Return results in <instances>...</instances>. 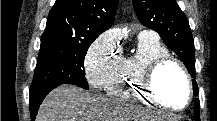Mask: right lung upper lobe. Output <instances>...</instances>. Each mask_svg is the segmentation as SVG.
<instances>
[{
  "label": "right lung upper lobe",
  "instance_id": "cb5924a9",
  "mask_svg": "<svg viewBox=\"0 0 217 121\" xmlns=\"http://www.w3.org/2000/svg\"><path fill=\"white\" fill-rule=\"evenodd\" d=\"M118 0H56L43 34L97 38L114 21Z\"/></svg>",
  "mask_w": 217,
  "mask_h": 121
}]
</instances>
